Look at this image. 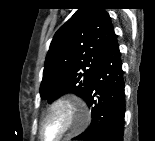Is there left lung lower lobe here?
Listing matches in <instances>:
<instances>
[{
  "label": "left lung lower lobe",
  "instance_id": "1",
  "mask_svg": "<svg viewBox=\"0 0 155 141\" xmlns=\"http://www.w3.org/2000/svg\"><path fill=\"white\" fill-rule=\"evenodd\" d=\"M116 35L106 47L83 98L91 108V125L73 140L123 141L125 93Z\"/></svg>",
  "mask_w": 155,
  "mask_h": 141
}]
</instances>
